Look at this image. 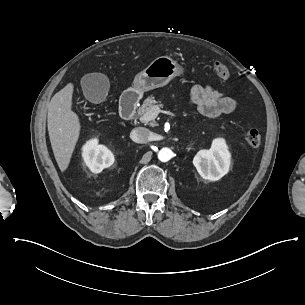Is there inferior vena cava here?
Returning <instances> with one entry per match:
<instances>
[{
    "instance_id": "602c4592",
    "label": "inferior vena cava",
    "mask_w": 305,
    "mask_h": 305,
    "mask_svg": "<svg viewBox=\"0 0 305 305\" xmlns=\"http://www.w3.org/2000/svg\"><path fill=\"white\" fill-rule=\"evenodd\" d=\"M130 137L136 143H145L150 137V130L144 127H137L131 131Z\"/></svg>"
}]
</instances>
